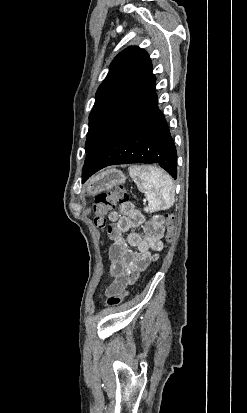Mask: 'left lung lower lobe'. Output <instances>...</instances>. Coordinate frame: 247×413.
I'll return each instance as SVG.
<instances>
[{
	"label": "left lung lower lobe",
	"mask_w": 247,
	"mask_h": 413,
	"mask_svg": "<svg viewBox=\"0 0 247 413\" xmlns=\"http://www.w3.org/2000/svg\"><path fill=\"white\" fill-rule=\"evenodd\" d=\"M157 163L177 178V152L158 109L155 82L97 140L88 152L82 182L115 164Z\"/></svg>",
	"instance_id": "0a47b994"
}]
</instances>
